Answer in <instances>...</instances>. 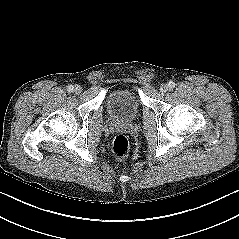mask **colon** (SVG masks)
Here are the masks:
<instances>
[{
  "mask_svg": "<svg viewBox=\"0 0 239 239\" xmlns=\"http://www.w3.org/2000/svg\"><path fill=\"white\" fill-rule=\"evenodd\" d=\"M112 152L118 159H124L129 155L130 145L126 136L117 135L112 143Z\"/></svg>",
  "mask_w": 239,
  "mask_h": 239,
  "instance_id": "5ec220e1",
  "label": "colon"
}]
</instances>
